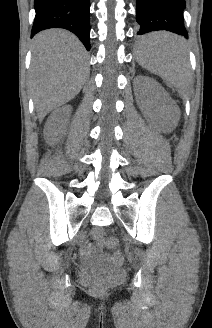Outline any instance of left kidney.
Returning <instances> with one entry per match:
<instances>
[{"instance_id": "left-kidney-1", "label": "left kidney", "mask_w": 212, "mask_h": 328, "mask_svg": "<svg viewBox=\"0 0 212 328\" xmlns=\"http://www.w3.org/2000/svg\"><path fill=\"white\" fill-rule=\"evenodd\" d=\"M135 96L141 112L147 118L151 117L150 97L158 103L161 109L159 127L163 132H171L177 126L180 117L179 108L155 80L139 76L135 81Z\"/></svg>"}]
</instances>
